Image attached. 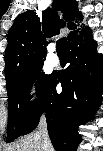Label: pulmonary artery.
<instances>
[{"label": "pulmonary artery", "instance_id": "e3ab8cb5", "mask_svg": "<svg viewBox=\"0 0 103 151\" xmlns=\"http://www.w3.org/2000/svg\"><path fill=\"white\" fill-rule=\"evenodd\" d=\"M53 50H54V47H50L51 53L48 56V62L50 65L56 66L58 64L59 60H58V57L54 53H52Z\"/></svg>", "mask_w": 103, "mask_h": 151}]
</instances>
